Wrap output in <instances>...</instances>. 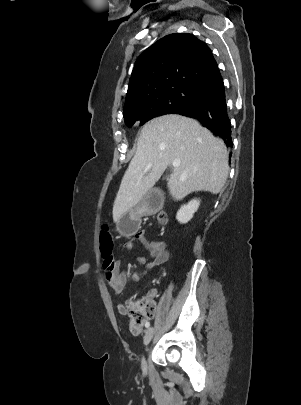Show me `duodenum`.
I'll list each match as a JSON object with an SVG mask.
<instances>
[{
  "mask_svg": "<svg viewBox=\"0 0 301 405\" xmlns=\"http://www.w3.org/2000/svg\"><path fill=\"white\" fill-rule=\"evenodd\" d=\"M164 206L163 190H145L144 197L140 200L139 217L151 219L153 213H161Z\"/></svg>",
  "mask_w": 301,
  "mask_h": 405,
  "instance_id": "duodenum-1",
  "label": "duodenum"
}]
</instances>
